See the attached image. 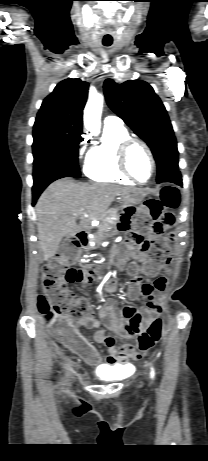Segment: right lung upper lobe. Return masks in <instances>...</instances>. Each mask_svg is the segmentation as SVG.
<instances>
[{"label":"right lung upper lobe","mask_w":208,"mask_h":461,"mask_svg":"<svg viewBox=\"0 0 208 461\" xmlns=\"http://www.w3.org/2000/svg\"><path fill=\"white\" fill-rule=\"evenodd\" d=\"M88 87L89 84L80 79L61 81L44 99L36 120H50L82 131Z\"/></svg>","instance_id":"right-lung-upper-lobe-1"}]
</instances>
